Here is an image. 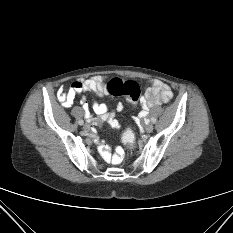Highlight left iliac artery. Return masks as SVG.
<instances>
[{
  "mask_svg": "<svg viewBox=\"0 0 233 233\" xmlns=\"http://www.w3.org/2000/svg\"><path fill=\"white\" fill-rule=\"evenodd\" d=\"M151 124H156V118H151Z\"/></svg>",
  "mask_w": 233,
  "mask_h": 233,
  "instance_id": "44dca946",
  "label": "left iliac artery"
}]
</instances>
